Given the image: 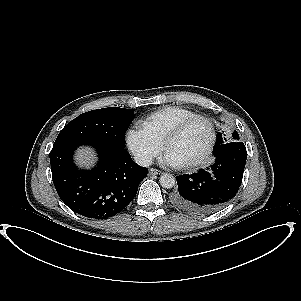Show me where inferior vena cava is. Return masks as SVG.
Here are the masks:
<instances>
[{
    "label": "inferior vena cava",
    "mask_w": 301,
    "mask_h": 301,
    "mask_svg": "<svg viewBox=\"0 0 301 301\" xmlns=\"http://www.w3.org/2000/svg\"><path fill=\"white\" fill-rule=\"evenodd\" d=\"M134 161L139 166L148 167L152 164V157L145 155V154H136L134 156Z\"/></svg>",
    "instance_id": "602c4592"
}]
</instances>
